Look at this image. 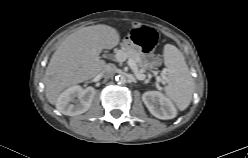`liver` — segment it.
Wrapping results in <instances>:
<instances>
[{
  "mask_svg": "<svg viewBox=\"0 0 248 158\" xmlns=\"http://www.w3.org/2000/svg\"><path fill=\"white\" fill-rule=\"evenodd\" d=\"M120 41L116 29L108 25L80 28L68 35L52 55L43 82L48 101L55 105L67 87L90 80L105 67L99 59L103 49H112Z\"/></svg>",
  "mask_w": 248,
  "mask_h": 158,
  "instance_id": "6515ba94",
  "label": "liver"
}]
</instances>
